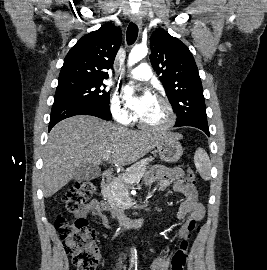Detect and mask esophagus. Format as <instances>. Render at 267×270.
<instances>
[{
	"mask_svg": "<svg viewBox=\"0 0 267 270\" xmlns=\"http://www.w3.org/2000/svg\"><path fill=\"white\" fill-rule=\"evenodd\" d=\"M132 21L139 27V29H142V17L140 14H133Z\"/></svg>",
	"mask_w": 267,
	"mask_h": 270,
	"instance_id": "1",
	"label": "esophagus"
}]
</instances>
